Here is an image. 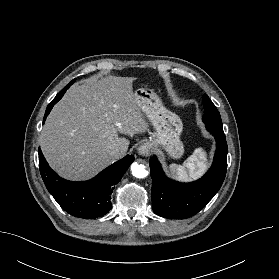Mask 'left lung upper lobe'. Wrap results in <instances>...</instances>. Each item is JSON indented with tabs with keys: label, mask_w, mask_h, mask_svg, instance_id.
I'll return each mask as SVG.
<instances>
[{
	"label": "left lung upper lobe",
	"mask_w": 279,
	"mask_h": 279,
	"mask_svg": "<svg viewBox=\"0 0 279 279\" xmlns=\"http://www.w3.org/2000/svg\"><path fill=\"white\" fill-rule=\"evenodd\" d=\"M203 104V121L206 125L207 130L216 134L225 135L223 132L221 116L216 106L213 104V102L209 99V97L206 94L203 95Z\"/></svg>",
	"instance_id": "left-lung-upper-lobe-1"
}]
</instances>
